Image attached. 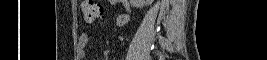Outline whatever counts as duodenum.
I'll list each match as a JSON object with an SVG mask.
<instances>
[{"mask_svg": "<svg viewBox=\"0 0 267 60\" xmlns=\"http://www.w3.org/2000/svg\"><path fill=\"white\" fill-rule=\"evenodd\" d=\"M124 0L118 1V2H123Z\"/></svg>", "mask_w": 267, "mask_h": 60, "instance_id": "obj_1", "label": "duodenum"}]
</instances>
